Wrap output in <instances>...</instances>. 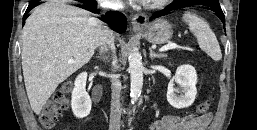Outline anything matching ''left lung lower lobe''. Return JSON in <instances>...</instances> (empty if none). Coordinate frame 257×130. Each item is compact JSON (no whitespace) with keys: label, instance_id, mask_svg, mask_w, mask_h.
Masks as SVG:
<instances>
[{"label":"left lung lower lobe","instance_id":"0a47b994","mask_svg":"<svg viewBox=\"0 0 257 130\" xmlns=\"http://www.w3.org/2000/svg\"><path fill=\"white\" fill-rule=\"evenodd\" d=\"M192 4L203 5L205 9L215 12V15L222 20L223 24H225V17H224V14L222 12V9L220 7L218 0H197V1L184 0L181 2H172L165 9L154 13L152 15V17L150 18V20L167 15L174 10H177V9H180L183 7H187Z\"/></svg>","mask_w":257,"mask_h":130}]
</instances>
